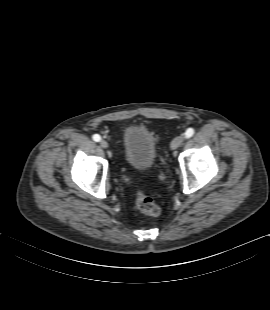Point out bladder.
<instances>
[{
	"mask_svg": "<svg viewBox=\"0 0 270 310\" xmlns=\"http://www.w3.org/2000/svg\"><path fill=\"white\" fill-rule=\"evenodd\" d=\"M125 163L136 170L150 169L157 159V146L152 133L142 126H129L122 137Z\"/></svg>",
	"mask_w": 270,
	"mask_h": 310,
	"instance_id": "1",
	"label": "bladder"
}]
</instances>
